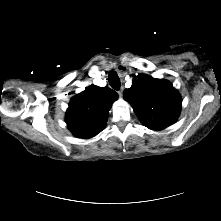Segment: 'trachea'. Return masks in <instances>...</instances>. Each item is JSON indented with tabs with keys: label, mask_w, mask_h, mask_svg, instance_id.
<instances>
[{
	"label": "trachea",
	"mask_w": 221,
	"mask_h": 221,
	"mask_svg": "<svg viewBox=\"0 0 221 221\" xmlns=\"http://www.w3.org/2000/svg\"><path fill=\"white\" fill-rule=\"evenodd\" d=\"M108 81H109L110 86L113 89H115V90L120 89V85H121L120 79L115 71H110L109 76H108Z\"/></svg>",
	"instance_id": "obj_1"
}]
</instances>
